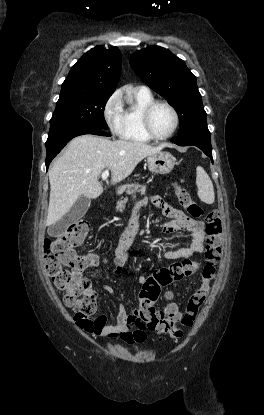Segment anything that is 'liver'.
Wrapping results in <instances>:
<instances>
[{
  "mask_svg": "<svg viewBox=\"0 0 264 415\" xmlns=\"http://www.w3.org/2000/svg\"><path fill=\"white\" fill-rule=\"evenodd\" d=\"M166 146L112 141L93 135L75 137L49 170L50 198L46 225L62 219L81 196L88 199L99 197L103 187L98 179L104 169L111 170V183L117 184L127 178L142 159ZM126 187L119 186L117 194H122Z\"/></svg>",
  "mask_w": 264,
  "mask_h": 415,
  "instance_id": "1",
  "label": "liver"
}]
</instances>
